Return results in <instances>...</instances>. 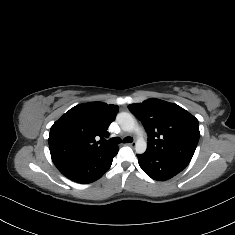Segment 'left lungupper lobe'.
Listing matches in <instances>:
<instances>
[{
  "instance_id": "left-lung-upper-lobe-1",
  "label": "left lung upper lobe",
  "mask_w": 235,
  "mask_h": 235,
  "mask_svg": "<svg viewBox=\"0 0 235 235\" xmlns=\"http://www.w3.org/2000/svg\"><path fill=\"white\" fill-rule=\"evenodd\" d=\"M128 108L147 132L148 151L191 161L200 137L198 120L193 115L156 98L130 104Z\"/></svg>"
}]
</instances>
